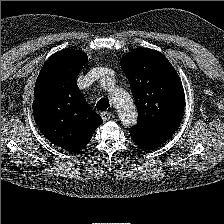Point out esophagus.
Wrapping results in <instances>:
<instances>
[{"instance_id": "34e87169", "label": "esophagus", "mask_w": 224, "mask_h": 224, "mask_svg": "<svg viewBox=\"0 0 224 224\" xmlns=\"http://www.w3.org/2000/svg\"><path fill=\"white\" fill-rule=\"evenodd\" d=\"M113 117V113L110 111H104L101 113V118L103 121H108Z\"/></svg>"}]
</instances>
